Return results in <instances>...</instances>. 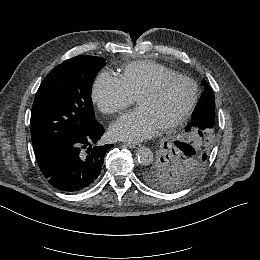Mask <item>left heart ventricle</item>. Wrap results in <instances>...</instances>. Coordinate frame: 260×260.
<instances>
[{
    "instance_id": "obj_1",
    "label": "left heart ventricle",
    "mask_w": 260,
    "mask_h": 260,
    "mask_svg": "<svg viewBox=\"0 0 260 260\" xmlns=\"http://www.w3.org/2000/svg\"><path fill=\"white\" fill-rule=\"evenodd\" d=\"M158 78H155L153 85ZM194 96L193 86L184 80H173L165 84L155 95L142 96L136 100V107L146 110L158 127L180 117L190 105Z\"/></svg>"
}]
</instances>
